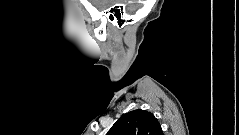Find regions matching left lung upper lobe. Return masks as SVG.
<instances>
[{"mask_svg":"<svg viewBox=\"0 0 239 135\" xmlns=\"http://www.w3.org/2000/svg\"><path fill=\"white\" fill-rule=\"evenodd\" d=\"M107 135H163V131L152 113L137 109L119 118Z\"/></svg>","mask_w":239,"mask_h":135,"instance_id":"5c2ea615","label":"left lung upper lobe"}]
</instances>
